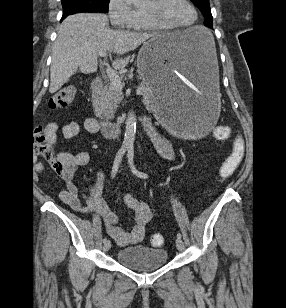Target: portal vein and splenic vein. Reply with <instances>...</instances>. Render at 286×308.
Returning <instances> with one entry per match:
<instances>
[{"mask_svg":"<svg viewBox=\"0 0 286 308\" xmlns=\"http://www.w3.org/2000/svg\"><path fill=\"white\" fill-rule=\"evenodd\" d=\"M99 56L100 57H105L107 56V52L106 51H101L99 52ZM106 73L111 81V83L120 91L122 90V82H121V78L119 77V75L117 74V72L115 70H113L110 66L107 65L106 67ZM136 93L138 95L142 94V90L139 88L136 90Z\"/></svg>","mask_w":286,"mask_h":308,"instance_id":"1","label":"portal vein and splenic vein"}]
</instances>
